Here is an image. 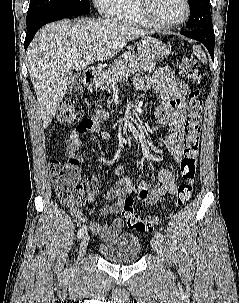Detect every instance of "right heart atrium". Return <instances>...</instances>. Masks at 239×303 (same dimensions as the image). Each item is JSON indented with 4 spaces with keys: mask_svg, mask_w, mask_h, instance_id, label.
<instances>
[{
    "mask_svg": "<svg viewBox=\"0 0 239 303\" xmlns=\"http://www.w3.org/2000/svg\"><path fill=\"white\" fill-rule=\"evenodd\" d=\"M97 9L105 17H114L121 0H93Z\"/></svg>",
    "mask_w": 239,
    "mask_h": 303,
    "instance_id": "1",
    "label": "right heart atrium"
}]
</instances>
